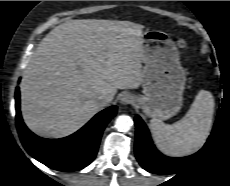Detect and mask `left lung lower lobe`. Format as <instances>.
<instances>
[{"label": "left lung lower lobe", "instance_id": "left-lung-lower-lobe-1", "mask_svg": "<svg viewBox=\"0 0 230 186\" xmlns=\"http://www.w3.org/2000/svg\"><path fill=\"white\" fill-rule=\"evenodd\" d=\"M135 125V154L139 164L148 172L156 174L176 173L182 167L190 165L203 150L183 158L164 156L153 145L147 126L139 116H135Z\"/></svg>", "mask_w": 230, "mask_h": 186}]
</instances>
